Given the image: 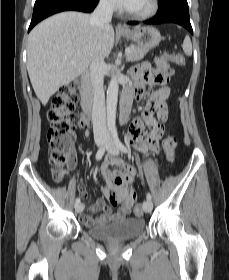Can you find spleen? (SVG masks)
<instances>
[{
  "mask_svg": "<svg viewBox=\"0 0 229 280\" xmlns=\"http://www.w3.org/2000/svg\"><path fill=\"white\" fill-rule=\"evenodd\" d=\"M183 51L186 55L192 54V43L188 36L185 37L182 45Z\"/></svg>",
  "mask_w": 229,
  "mask_h": 280,
  "instance_id": "spleen-1",
  "label": "spleen"
}]
</instances>
